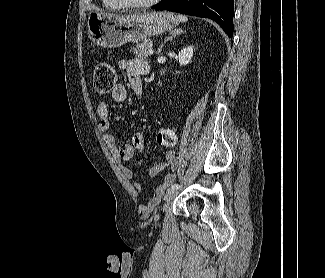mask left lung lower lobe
Masks as SVG:
<instances>
[{"label": "left lung lower lobe", "mask_w": 325, "mask_h": 278, "mask_svg": "<svg viewBox=\"0 0 325 278\" xmlns=\"http://www.w3.org/2000/svg\"><path fill=\"white\" fill-rule=\"evenodd\" d=\"M152 8L210 18L229 37L233 35L234 0H163Z\"/></svg>", "instance_id": "obj_1"}]
</instances>
